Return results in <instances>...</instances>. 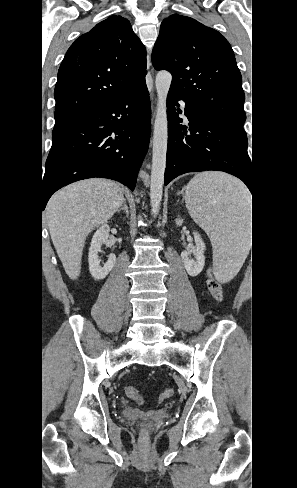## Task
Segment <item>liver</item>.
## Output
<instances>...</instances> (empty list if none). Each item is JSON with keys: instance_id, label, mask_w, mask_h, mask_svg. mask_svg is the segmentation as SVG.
Segmentation results:
<instances>
[{"instance_id": "6515ba94", "label": "liver", "mask_w": 297, "mask_h": 488, "mask_svg": "<svg viewBox=\"0 0 297 488\" xmlns=\"http://www.w3.org/2000/svg\"><path fill=\"white\" fill-rule=\"evenodd\" d=\"M123 200L117 183L99 178L70 184L50 198L45 212L49 232L69 278L80 275L88 234L107 222Z\"/></svg>"}]
</instances>
